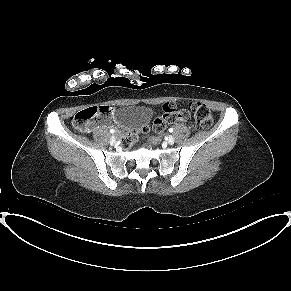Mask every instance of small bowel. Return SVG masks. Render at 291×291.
<instances>
[{
    "label": "small bowel",
    "instance_id": "c3829d8e",
    "mask_svg": "<svg viewBox=\"0 0 291 291\" xmlns=\"http://www.w3.org/2000/svg\"><path fill=\"white\" fill-rule=\"evenodd\" d=\"M190 118V113L185 110L177 111L174 121L177 122H186ZM193 126V125H192Z\"/></svg>",
    "mask_w": 291,
    "mask_h": 291
}]
</instances>
